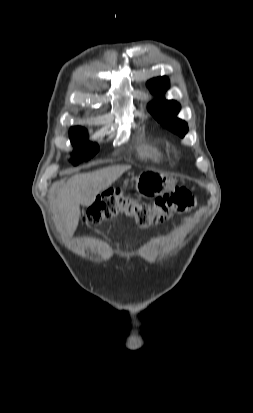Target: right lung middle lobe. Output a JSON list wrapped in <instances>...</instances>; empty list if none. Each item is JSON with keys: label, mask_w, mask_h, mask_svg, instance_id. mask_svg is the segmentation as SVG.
I'll return each mask as SVG.
<instances>
[{"label": "right lung middle lobe", "mask_w": 253, "mask_h": 413, "mask_svg": "<svg viewBox=\"0 0 253 413\" xmlns=\"http://www.w3.org/2000/svg\"><path fill=\"white\" fill-rule=\"evenodd\" d=\"M69 137L75 147L72 154L73 165H78L81 161H87L99 150L97 144L87 141V131L82 127H72L69 131Z\"/></svg>", "instance_id": "dd1d6c3e"}]
</instances>
